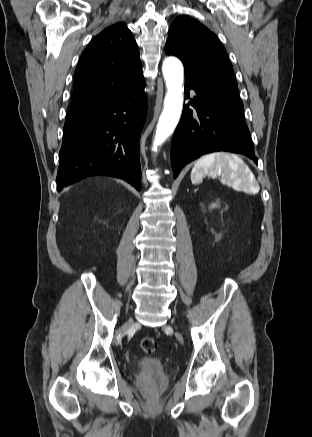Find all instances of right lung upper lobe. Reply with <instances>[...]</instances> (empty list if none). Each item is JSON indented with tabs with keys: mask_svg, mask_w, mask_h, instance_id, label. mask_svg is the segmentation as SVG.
<instances>
[{
	"mask_svg": "<svg viewBox=\"0 0 312 437\" xmlns=\"http://www.w3.org/2000/svg\"><path fill=\"white\" fill-rule=\"evenodd\" d=\"M142 75L139 50L131 31L122 23L106 28L80 57L68 114H78L111 99Z\"/></svg>",
	"mask_w": 312,
	"mask_h": 437,
	"instance_id": "1",
	"label": "right lung upper lobe"
}]
</instances>
